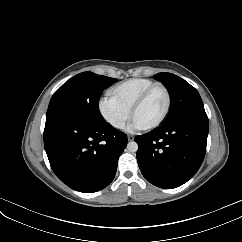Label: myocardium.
<instances>
[{
    "label": "myocardium",
    "instance_id": "1",
    "mask_svg": "<svg viewBox=\"0 0 242 242\" xmlns=\"http://www.w3.org/2000/svg\"><path fill=\"white\" fill-rule=\"evenodd\" d=\"M157 88L162 89L165 94V98H166L165 108L160 118L156 122H154L153 124L145 128L147 130L155 129L165 121L171 107V94L169 89L162 83H154L139 95V97L134 101L130 109L131 117H134L136 110L145 102V100L149 97V95Z\"/></svg>",
    "mask_w": 242,
    "mask_h": 242
}]
</instances>
